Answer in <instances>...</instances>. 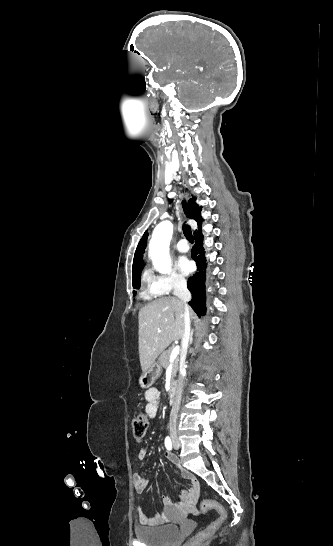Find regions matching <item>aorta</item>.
<instances>
[{"label": "aorta", "instance_id": "762f6f07", "mask_svg": "<svg viewBox=\"0 0 333 546\" xmlns=\"http://www.w3.org/2000/svg\"><path fill=\"white\" fill-rule=\"evenodd\" d=\"M172 233L173 224L170 221H162L155 227L149 243V256L152 259L153 265L163 274L171 272L169 243Z\"/></svg>", "mask_w": 333, "mask_h": 546}]
</instances>
